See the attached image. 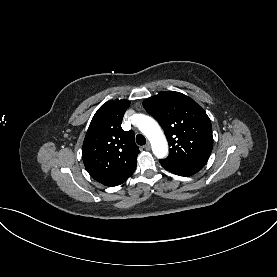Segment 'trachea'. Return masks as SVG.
Instances as JSON below:
<instances>
[{
  "instance_id": "1",
  "label": "trachea",
  "mask_w": 277,
  "mask_h": 277,
  "mask_svg": "<svg viewBox=\"0 0 277 277\" xmlns=\"http://www.w3.org/2000/svg\"><path fill=\"white\" fill-rule=\"evenodd\" d=\"M136 142L138 145H144L146 143V139L142 134H138L136 136Z\"/></svg>"
}]
</instances>
